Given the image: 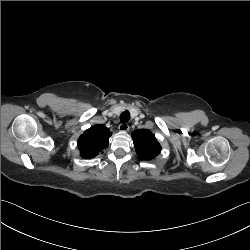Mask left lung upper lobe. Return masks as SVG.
Here are the masks:
<instances>
[{
    "mask_svg": "<svg viewBox=\"0 0 250 250\" xmlns=\"http://www.w3.org/2000/svg\"><path fill=\"white\" fill-rule=\"evenodd\" d=\"M132 138L136 152L142 160L153 159L161 151V146L157 142L154 134L148 130H136L132 133Z\"/></svg>",
    "mask_w": 250,
    "mask_h": 250,
    "instance_id": "5c2ea615",
    "label": "left lung upper lobe"
}]
</instances>
